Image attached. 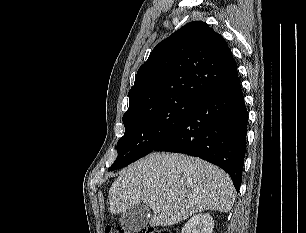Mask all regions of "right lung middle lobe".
<instances>
[{
	"label": "right lung middle lobe",
	"mask_w": 306,
	"mask_h": 233,
	"mask_svg": "<svg viewBox=\"0 0 306 233\" xmlns=\"http://www.w3.org/2000/svg\"><path fill=\"white\" fill-rule=\"evenodd\" d=\"M198 105L188 99L174 98L125 113V134L117 143L118 156L108 171L125 167L153 151Z\"/></svg>",
	"instance_id": "dd1d6c3e"
}]
</instances>
